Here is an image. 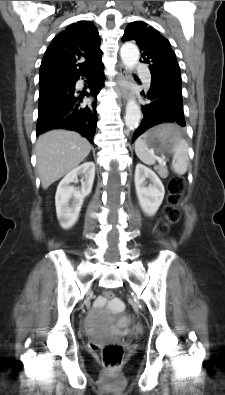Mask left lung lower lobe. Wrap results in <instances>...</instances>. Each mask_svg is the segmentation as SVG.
I'll list each match as a JSON object with an SVG mask.
<instances>
[{"instance_id": "1", "label": "left lung lower lobe", "mask_w": 225, "mask_h": 395, "mask_svg": "<svg viewBox=\"0 0 225 395\" xmlns=\"http://www.w3.org/2000/svg\"><path fill=\"white\" fill-rule=\"evenodd\" d=\"M150 103L142 106L144 118L134 133L132 142L147 129L164 122L186 125L183 112L181 83L151 78L148 94L145 96Z\"/></svg>"}]
</instances>
